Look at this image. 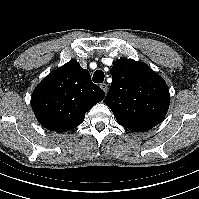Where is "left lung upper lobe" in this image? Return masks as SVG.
Here are the masks:
<instances>
[{"instance_id":"obj_1","label":"left lung upper lobe","mask_w":199,"mask_h":199,"mask_svg":"<svg viewBox=\"0 0 199 199\" xmlns=\"http://www.w3.org/2000/svg\"><path fill=\"white\" fill-rule=\"evenodd\" d=\"M112 79L104 102L121 126L144 132L163 120L169 108V90L164 79L145 63L118 59L113 63Z\"/></svg>"}]
</instances>
